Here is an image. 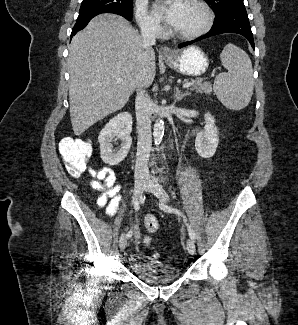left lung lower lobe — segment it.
I'll return each mask as SVG.
<instances>
[{"label":"left lung lower lobe","mask_w":298,"mask_h":325,"mask_svg":"<svg viewBox=\"0 0 298 325\" xmlns=\"http://www.w3.org/2000/svg\"><path fill=\"white\" fill-rule=\"evenodd\" d=\"M222 33L241 34L248 39L251 46L254 48L253 34L245 7H236L224 12L221 16L215 18L214 25L206 35L196 40L181 43L178 47L182 48L194 42Z\"/></svg>","instance_id":"obj_1"}]
</instances>
